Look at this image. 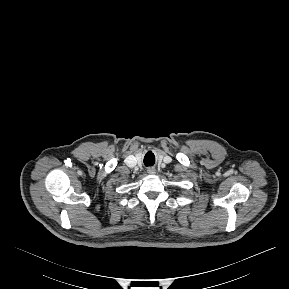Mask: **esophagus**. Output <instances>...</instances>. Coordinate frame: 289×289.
<instances>
[{
    "instance_id": "1",
    "label": "esophagus",
    "mask_w": 289,
    "mask_h": 289,
    "mask_svg": "<svg viewBox=\"0 0 289 289\" xmlns=\"http://www.w3.org/2000/svg\"><path fill=\"white\" fill-rule=\"evenodd\" d=\"M149 174H155V169L154 168H149L148 170Z\"/></svg>"
}]
</instances>
